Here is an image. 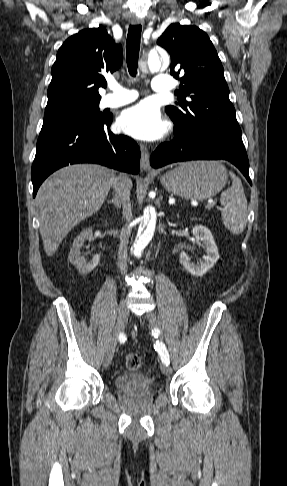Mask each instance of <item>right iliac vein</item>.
<instances>
[{
    "instance_id": "1",
    "label": "right iliac vein",
    "mask_w": 287,
    "mask_h": 486,
    "mask_svg": "<svg viewBox=\"0 0 287 486\" xmlns=\"http://www.w3.org/2000/svg\"><path fill=\"white\" fill-rule=\"evenodd\" d=\"M128 315H129V311L126 307V303L124 300H122L119 307L118 324L113 332V336L107 347L105 357H104V366L106 368L109 367L112 362L118 336L125 327L126 321L128 319Z\"/></svg>"
}]
</instances>
